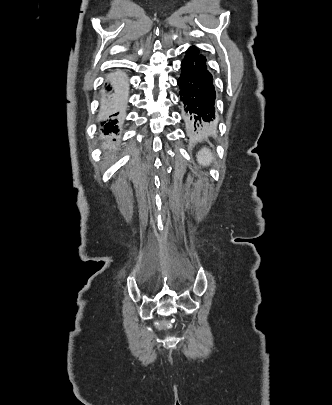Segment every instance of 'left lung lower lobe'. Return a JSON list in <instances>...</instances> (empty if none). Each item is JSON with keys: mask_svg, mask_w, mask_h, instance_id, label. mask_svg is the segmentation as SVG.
Instances as JSON below:
<instances>
[{"mask_svg": "<svg viewBox=\"0 0 332 405\" xmlns=\"http://www.w3.org/2000/svg\"><path fill=\"white\" fill-rule=\"evenodd\" d=\"M181 69L177 84L184 109V121L190 132L201 133L213 125L217 117L213 77L207 69L206 58L196 46L187 50Z\"/></svg>", "mask_w": 332, "mask_h": 405, "instance_id": "0a47b994", "label": "left lung lower lobe"}]
</instances>
